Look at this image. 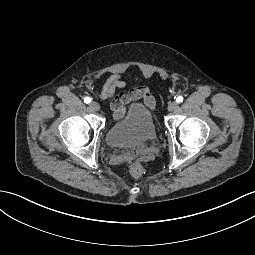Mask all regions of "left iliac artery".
<instances>
[{"mask_svg":"<svg viewBox=\"0 0 255 255\" xmlns=\"http://www.w3.org/2000/svg\"><path fill=\"white\" fill-rule=\"evenodd\" d=\"M176 101L177 103H181L183 101V97L182 96L177 97Z\"/></svg>","mask_w":255,"mask_h":255,"instance_id":"1","label":"left iliac artery"}]
</instances>
